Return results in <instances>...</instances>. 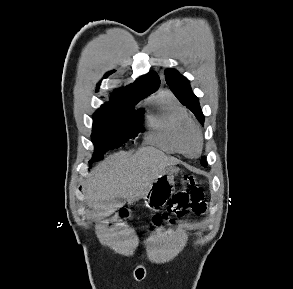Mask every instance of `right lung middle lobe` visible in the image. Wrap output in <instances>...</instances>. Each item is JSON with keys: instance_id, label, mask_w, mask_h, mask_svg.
Here are the masks:
<instances>
[{"instance_id": "right-lung-middle-lobe-1", "label": "right lung middle lobe", "mask_w": 293, "mask_h": 289, "mask_svg": "<svg viewBox=\"0 0 293 289\" xmlns=\"http://www.w3.org/2000/svg\"><path fill=\"white\" fill-rule=\"evenodd\" d=\"M140 100L121 102L102 106L94 113L92 142L95 153L92 160H100L103 154L125 144L129 139L136 137L141 130L144 110L133 112L134 106Z\"/></svg>"}]
</instances>
